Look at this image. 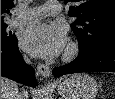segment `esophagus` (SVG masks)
<instances>
[{
	"instance_id": "esophagus-1",
	"label": "esophagus",
	"mask_w": 115,
	"mask_h": 99,
	"mask_svg": "<svg viewBox=\"0 0 115 99\" xmlns=\"http://www.w3.org/2000/svg\"><path fill=\"white\" fill-rule=\"evenodd\" d=\"M37 72L44 78H48L51 73L50 68L42 63H38Z\"/></svg>"
}]
</instances>
